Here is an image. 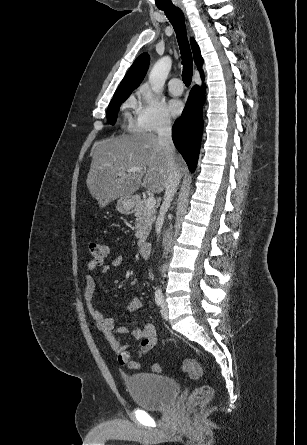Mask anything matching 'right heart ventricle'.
Wrapping results in <instances>:
<instances>
[{
	"label": "right heart ventricle",
	"instance_id": "right-heart-ventricle-1",
	"mask_svg": "<svg viewBox=\"0 0 307 445\" xmlns=\"http://www.w3.org/2000/svg\"><path fill=\"white\" fill-rule=\"evenodd\" d=\"M124 105H130V106H134L136 108H138V102L136 100V98L133 95L128 96L125 100H124Z\"/></svg>",
	"mask_w": 307,
	"mask_h": 445
}]
</instances>
